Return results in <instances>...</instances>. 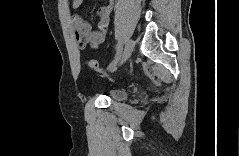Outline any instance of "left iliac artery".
I'll return each instance as SVG.
<instances>
[{
  "label": "left iliac artery",
  "mask_w": 239,
  "mask_h": 156,
  "mask_svg": "<svg viewBox=\"0 0 239 156\" xmlns=\"http://www.w3.org/2000/svg\"><path fill=\"white\" fill-rule=\"evenodd\" d=\"M122 46H123V43L122 41H119L118 43V46H117V52H116V55H115V58L113 59V61L109 64L108 68H112L114 67L118 61L120 60L121 58V53H122Z\"/></svg>",
  "instance_id": "left-iliac-artery-1"
}]
</instances>
